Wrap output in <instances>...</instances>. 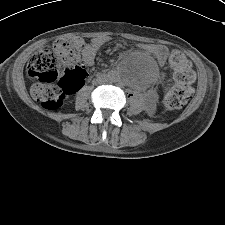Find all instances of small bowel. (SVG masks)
Returning a JSON list of instances; mask_svg holds the SVG:
<instances>
[{"mask_svg":"<svg viewBox=\"0 0 225 225\" xmlns=\"http://www.w3.org/2000/svg\"><path fill=\"white\" fill-rule=\"evenodd\" d=\"M106 42V37H96L90 43L86 44L82 50V63L87 66L93 65L97 52ZM144 49L154 55L159 64H163L165 62L168 54V49L166 46L151 44L145 45ZM151 109L153 110V106Z\"/></svg>","mask_w":225,"mask_h":225,"instance_id":"1","label":"small bowel"}]
</instances>
